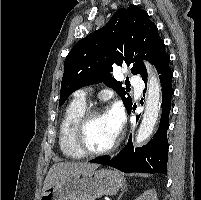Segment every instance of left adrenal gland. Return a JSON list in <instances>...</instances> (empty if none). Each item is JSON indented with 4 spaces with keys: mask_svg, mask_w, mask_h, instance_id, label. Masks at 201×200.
Wrapping results in <instances>:
<instances>
[{
    "mask_svg": "<svg viewBox=\"0 0 201 200\" xmlns=\"http://www.w3.org/2000/svg\"><path fill=\"white\" fill-rule=\"evenodd\" d=\"M127 190H128L127 188H124V189L121 191L120 195L118 196V199H117V200H120L121 197H122V195L124 194V192H126Z\"/></svg>",
    "mask_w": 201,
    "mask_h": 200,
    "instance_id": "left-adrenal-gland-1",
    "label": "left adrenal gland"
}]
</instances>
